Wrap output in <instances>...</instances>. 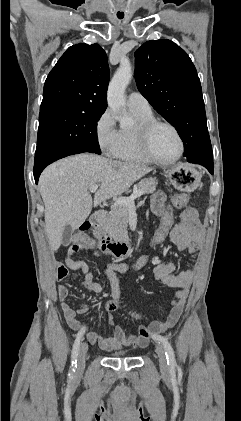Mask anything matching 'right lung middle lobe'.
Returning <instances> with one entry per match:
<instances>
[{
	"label": "right lung middle lobe",
	"instance_id": "dd1d6c3e",
	"mask_svg": "<svg viewBox=\"0 0 241 421\" xmlns=\"http://www.w3.org/2000/svg\"><path fill=\"white\" fill-rule=\"evenodd\" d=\"M102 114L64 109L40 111L34 162L77 151L101 154L96 128Z\"/></svg>",
	"mask_w": 241,
	"mask_h": 421
}]
</instances>
